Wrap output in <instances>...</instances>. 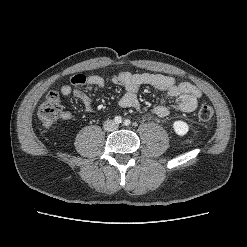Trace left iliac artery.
Segmentation results:
<instances>
[{
	"label": "left iliac artery",
	"mask_w": 247,
	"mask_h": 247,
	"mask_svg": "<svg viewBox=\"0 0 247 247\" xmlns=\"http://www.w3.org/2000/svg\"><path fill=\"white\" fill-rule=\"evenodd\" d=\"M131 124V121L129 119L124 120V125L129 126Z\"/></svg>",
	"instance_id": "obj_1"
}]
</instances>
